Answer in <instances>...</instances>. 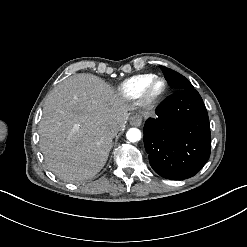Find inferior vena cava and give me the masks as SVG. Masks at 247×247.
<instances>
[{
  "instance_id": "inferior-vena-cava-1",
  "label": "inferior vena cava",
  "mask_w": 247,
  "mask_h": 247,
  "mask_svg": "<svg viewBox=\"0 0 247 247\" xmlns=\"http://www.w3.org/2000/svg\"><path fill=\"white\" fill-rule=\"evenodd\" d=\"M121 131L120 127L119 126H114V127H110L109 128V134L112 136V137H115L118 132Z\"/></svg>"
}]
</instances>
